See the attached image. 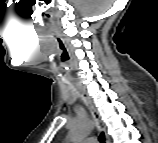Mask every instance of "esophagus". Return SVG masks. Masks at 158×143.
Returning <instances> with one entry per match:
<instances>
[{
    "label": "esophagus",
    "instance_id": "34e87169",
    "mask_svg": "<svg viewBox=\"0 0 158 143\" xmlns=\"http://www.w3.org/2000/svg\"><path fill=\"white\" fill-rule=\"evenodd\" d=\"M78 89L80 91V95H81V98H82L83 102L85 103V105L89 109L90 113L92 114V116H93L94 120L96 121L99 129L104 134L105 143H108L109 142V137H108V135L106 133L105 126H104V124L101 121L99 112L97 111V109L95 108V106L93 105L91 100L82 91V89L80 87H78Z\"/></svg>",
    "mask_w": 158,
    "mask_h": 143
}]
</instances>
